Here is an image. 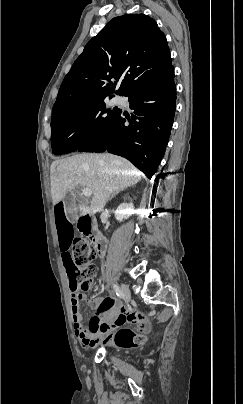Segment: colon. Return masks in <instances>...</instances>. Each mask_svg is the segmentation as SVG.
Here are the masks:
<instances>
[{
  "instance_id": "obj_1",
  "label": "colon",
  "mask_w": 243,
  "mask_h": 404,
  "mask_svg": "<svg viewBox=\"0 0 243 404\" xmlns=\"http://www.w3.org/2000/svg\"><path fill=\"white\" fill-rule=\"evenodd\" d=\"M72 263L74 267V279L78 287L87 290L91 280L97 272L95 255L91 243L85 239H76L72 248ZM131 329L121 328L115 333V344L119 347H127L140 342Z\"/></svg>"
}]
</instances>
